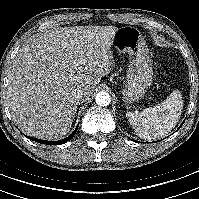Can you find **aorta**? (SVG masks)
<instances>
[{
    "label": "aorta",
    "instance_id": "1",
    "mask_svg": "<svg viewBox=\"0 0 199 199\" xmlns=\"http://www.w3.org/2000/svg\"><path fill=\"white\" fill-rule=\"evenodd\" d=\"M95 102L98 106L105 107L111 102V97L107 92L100 91L95 96Z\"/></svg>",
    "mask_w": 199,
    "mask_h": 199
}]
</instances>
